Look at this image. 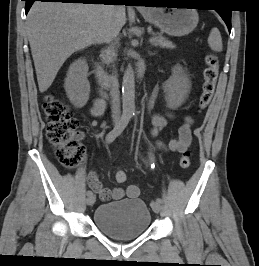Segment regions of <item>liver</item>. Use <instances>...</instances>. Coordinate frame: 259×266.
<instances>
[{
    "label": "liver",
    "instance_id": "obj_1",
    "mask_svg": "<svg viewBox=\"0 0 259 266\" xmlns=\"http://www.w3.org/2000/svg\"><path fill=\"white\" fill-rule=\"evenodd\" d=\"M111 5L35 2L27 16V35L41 93L53 83L63 63L74 52L105 41ZM120 28L125 7L116 13Z\"/></svg>",
    "mask_w": 259,
    "mask_h": 266
}]
</instances>
